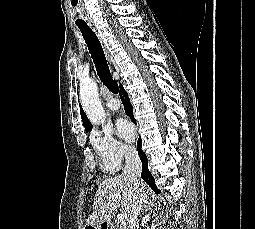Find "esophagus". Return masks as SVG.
Segmentation results:
<instances>
[{
  "label": "esophagus",
  "instance_id": "esophagus-1",
  "mask_svg": "<svg viewBox=\"0 0 255 229\" xmlns=\"http://www.w3.org/2000/svg\"><path fill=\"white\" fill-rule=\"evenodd\" d=\"M88 24H89V26L91 27V29H92V30L96 33V35L98 36V38H99V40H100V42H101V44H102V47H103L104 53H105V55H106V58H107V60L111 63V61H112L111 55H110V53H109L107 47L103 44L102 39H101V37H100V35H99L98 31H97L96 26L94 25L93 22H88Z\"/></svg>",
  "mask_w": 255,
  "mask_h": 229
}]
</instances>
